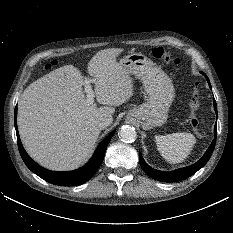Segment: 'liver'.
<instances>
[{
  "mask_svg": "<svg viewBox=\"0 0 233 233\" xmlns=\"http://www.w3.org/2000/svg\"><path fill=\"white\" fill-rule=\"evenodd\" d=\"M121 52L100 50L88 63L101 107L87 103L83 91L87 79L73 65L51 71L24 90L18 102L19 134L27 153L41 166L73 170L90 157L101 132L97 120L112 117L114 107L133 95L132 79L116 60Z\"/></svg>",
  "mask_w": 233,
  "mask_h": 233,
  "instance_id": "obj_1",
  "label": "liver"
}]
</instances>
